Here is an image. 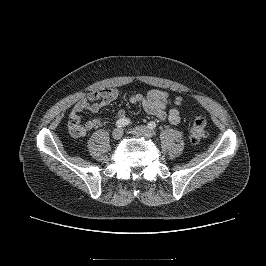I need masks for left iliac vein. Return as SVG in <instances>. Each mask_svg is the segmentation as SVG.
Returning <instances> with one entry per match:
<instances>
[{
  "mask_svg": "<svg viewBox=\"0 0 266 266\" xmlns=\"http://www.w3.org/2000/svg\"><path fill=\"white\" fill-rule=\"evenodd\" d=\"M132 134L136 136L151 138L154 136L155 132L146 126H137L134 129H132Z\"/></svg>",
  "mask_w": 266,
  "mask_h": 266,
  "instance_id": "left-iliac-vein-1",
  "label": "left iliac vein"
}]
</instances>
